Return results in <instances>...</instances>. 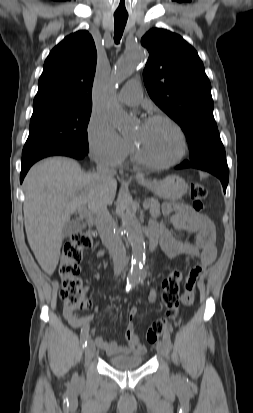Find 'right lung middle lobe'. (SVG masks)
I'll return each mask as SVG.
<instances>
[{"label":"right lung middle lobe","instance_id":"obj_1","mask_svg":"<svg viewBox=\"0 0 253 413\" xmlns=\"http://www.w3.org/2000/svg\"><path fill=\"white\" fill-rule=\"evenodd\" d=\"M91 111L92 106L33 112L22 159L57 150L88 153L87 125Z\"/></svg>","mask_w":253,"mask_h":413}]
</instances>
